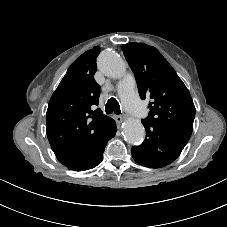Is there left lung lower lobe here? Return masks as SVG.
I'll return each mask as SVG.
<instances>
[{
	"label": "left lung lower lobe",
	"mask_w": 227,
	"mask_h": 227,
	"mask_svg": "<svg viewBox=\"0 0 227 227\" xmlns=\"http://www.w3.org/2000/svg\"><path fill=\"white\" fill-rule=\"evenodd\" d=\"M146 138L139 146L131 149L133 158L140 165L160 168L178 158L188 142V138L163 127L143 123Z\"/></svg>",
	"instance_id": "1"
}]
</instances>
